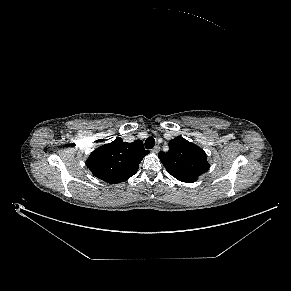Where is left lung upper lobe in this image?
Masks as SVG:
<instances>
[{"label":"left lung upper lobe","mask_w":291,"mask_h":291,"mask_svg":"<svg viewBox=\"0 0 291 291\" xmlns=\"http://www.w3.org/2000/svg\"><path fill=\"white\" fill-rule=\"evenodd\" d=\"M158 157L170 175L186 183L195 182L210 167L203 149L180 136L170 140L169 151Z\"/></svg>","instance_id":"1"}]
</instances>
